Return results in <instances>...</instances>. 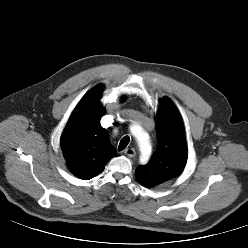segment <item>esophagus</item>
Listing matches in <instances>:
<instances>
[{
	"mask_svg": "<svg viewBox=\"0 0 248 248\" xmlns=\"http://www.w3.org/2000/svg\"><path fill=\"white\" fill-rule=\"evenodd\" d=\"M124 153H125L128 157H130V158H132V157H134V156L136 155V152H135V150H134L133 148H127V149L124 151Z\"/></svg>",
	"mask_w": 248,
	"mask_h": 248,
	"instance_id": "obj_1",
	"label": "esophagus"
}]
</instances>
